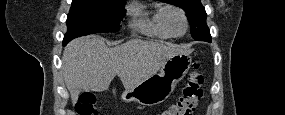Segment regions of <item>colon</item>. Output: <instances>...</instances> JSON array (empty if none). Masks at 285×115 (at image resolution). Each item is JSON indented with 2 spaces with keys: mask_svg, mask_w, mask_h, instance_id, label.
Instances as JSON below:
<instances>
[{
  "mask_svg": "<svg viewBox=\"0 0 285 115\" xmlns=\"http://www.w3.org/2000/svg\"><path fill=\"white\" fill-rule=\"evenodd\" d=\"M203 82L204 77L201 65L196 62L187 77L186 84L178 101L160 113H157V115H192L203 96ZM95 102V98L91 93L82 94L77 106L79 114H96Z\"/></svg>",
  "mask_w": 285,
  "mask_h": 115,
  "instance_id": "5ec220e1",
  "label": "colon"
}]
</instances>
